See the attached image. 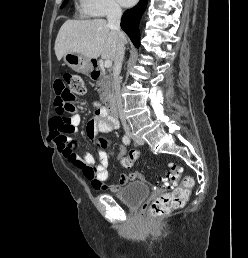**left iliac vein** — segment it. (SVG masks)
Listing matches in <instances>:
<instances>
[{"mask_svg":"<svg viewBox=\"0 0 248 258\" xmlns=\"http://www.w3.org/2000/svg\"><path fill=\"white\" fill-rule=\"evenodd\" d=\"M134 141H135L138 145H143V144H144V140H143L140 136L134 137Z\"/></svg>","mask_w":248,"mask_h":258,"instance_id":"obj_1","label":"left iliac vein"}]
</instances>
